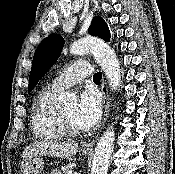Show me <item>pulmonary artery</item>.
I'll use <instances>...</instances> for the list:
<instances>
[{
    "mask_svg": "<svg viewBox=\"0 0 175 174\" xmlns=\"http://www.w3.org/2000/svg\"><path fill=\"white\" fill-rule=\"evenodd\" d=\"M92 73L91 65L86 61H81L71 65L64 73L54 79L50 88L54 91L67 89L79 82Z\"/></svg>",
    "mask_w": 175,
    "mask_h": 174,
    "instance_id": "e3ab8cb5",
    "label": "pulmonary artery"
}]
</instances>
